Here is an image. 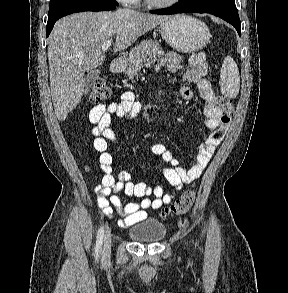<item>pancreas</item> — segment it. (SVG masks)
<instances>
[{
	"label": "pancreas",
	"mask_w": 288,
	"mask_h": 293,
	"mask_svg": "<svg viewBox=\"0 0 288 293\" xmlns=\"http://www.w3.org/2000/svg\"><path fill=\"white\" fill-rule=\"evenodd\" d=\"M164 51L157 41L145 40L136 45L126 59V73L133 78L143 67V63L149 60L155 61L157 57H162Z\"/></svg>",
	"instance_id": "1"
}]
</instances>
